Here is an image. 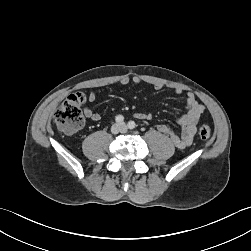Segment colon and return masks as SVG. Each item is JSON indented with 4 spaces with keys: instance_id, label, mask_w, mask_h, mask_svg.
<instances>
[{
    "instance_id": "obj_1",
    "label": "colon",
    "mask_w": 251,
    "mask_h": 251,
    "mask_svg": "<svg viewBox=\"0 0 251 251\" xmlns=\"http://www.w3.org/2000/svg\"><path fill=\"white\" fill-rule=\"evenodd\" d=\"M85 100L86 97L82 92L69 95L54 113V123L67 133L79 130L84 124L81 105ZM199 135L203 140L210 139L212 135L210 127L202 125L199 128Z\"/></svg>"
}]
</instances>
